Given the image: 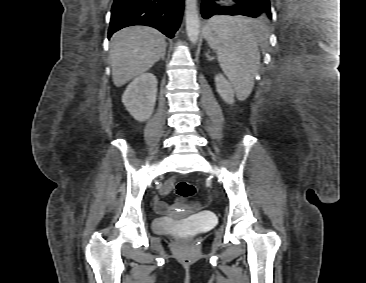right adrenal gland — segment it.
<instances>
[{"mask_svg": "<svg viewBox=\"0 0 366 283\" xmlns=\"http://www.w3.org/2000/svg\"><path fill=\"white\" fill-rule=\"evenodd\" d=\"M165 55H166V52H164V53L161 55L160 59L165 60Z\"/></svg>", "mask_w": 366, "mask_h": 283, "instance_id": "obj_1", "label": "right adrenal gland"}]
</instances>
